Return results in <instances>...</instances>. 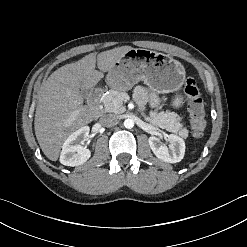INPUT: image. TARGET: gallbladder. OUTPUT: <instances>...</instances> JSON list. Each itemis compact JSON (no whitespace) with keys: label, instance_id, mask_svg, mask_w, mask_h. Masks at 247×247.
Listing matches in <instances>:
<instances>
[{"label":"gallbladder","instance_id":"obj_1","mask_svg":"<svg viewBox=\"0 0 247 247\" xmlns=\"http://www.w3.org/2000/svg\"><path fill=\"white\" fill-rule=\"evenodd\" d=\"M81 95L82 96H86L87 95V91L86 90H81Z\"/></svg>","mask_w":247,"mask_h":247}]
</instances>
